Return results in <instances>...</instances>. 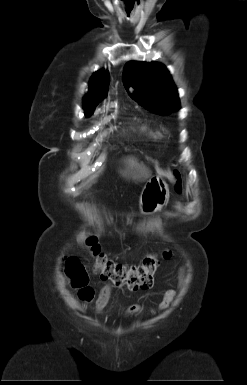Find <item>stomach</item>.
Segmentation results:
<instances>
[{
	"label": "stomach",
	"mask_w": 247,
	"mask_h": 385,
	"mask_svg": "<svg viewBox=\"0 0 247 385\" xmlns=\"http://www.w3.org/2000/svg\"><path fill=\"white\" fill-rule=\"evenodd\" d=\"M169 200V189L160 177H152L144 186L139 207L142 213H154L162 209Z\"/></svg>",
	"instance_id": "0dacf381"
}]
</instances>
